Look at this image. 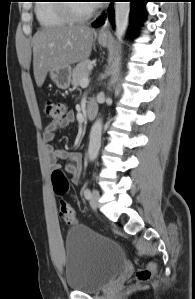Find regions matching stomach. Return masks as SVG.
<instances>
[{
	"instance_id": "obj_1",
	"label": "stomach",
	"mask_w": 195,
	"mask_h": 299,
	"mask_svg": "<svg viewBox=\"0 0 195 299\" xmlns=\"http://www.w3.org/2000/svg\"><path fill=\"white\" fill-rule=\"evenodd\" d=\"M98 41L102 46H106L108 43V40L103 37H99ZM49 76L58 88L67 89L69 88L72 81V69L70 66L59 69H52L49 71Z\"/></svg>"
}]
</instances>
